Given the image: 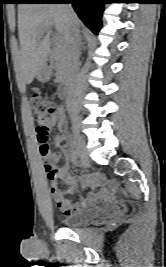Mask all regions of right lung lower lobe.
<instances>
[{
	"mask_svg": "<svg viewBox=\"0 0 166 267\" xmlns=\"http://www.w3.org/2000/svg\"><path fill=\"white\" fill-rule=\"evenodd\" d=\"M105 2V0H31L20 3H72L84 24L94 34H98L102 26L101 17Z\"/></svg>",
	"mask_w": 166,
	"mask_h": 267,
	"instance_id": "obj_1",
	"label": "right lung lower lobe"
}]
</instances>
